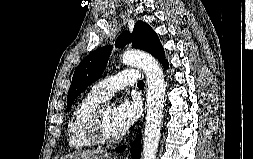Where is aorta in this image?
<instances>
[{
    "label": "aorta",
    "instance_id": "762f6f07",
    "mask_svg": "<svg viewBox=\"0 0 253 159\" xmlns=\"http://www.w3.org/2000/svg\"><path fill=\"white\" fill-rule=\"evenodd\" d=\"M122 62L138 66L146 74L148 88L142 159H155L161 133L166 89L163 70L150 54L136 50L124 52Z\"/></svg>",
    "mask_w": 253,
    "mask_h": 159
}]
</instances>
